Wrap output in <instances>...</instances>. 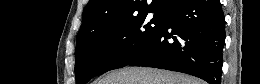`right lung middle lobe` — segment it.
<instances>
[{
	"label": "right lung middle lobe",
	"instance_id": "dd1d6c3e",
	"mask_svg": "<svg viewBox=\"0 0 260 84\" xmlns=\"http://www.w3.org/2000/svg\"><path fill=\"white\" fill-rule=\"evenodd\" d=\"M148 11L119 21L95 25L87 36L76 42V84L107 71L127 66L156 39L165 23L164 12Z\"/></svg>",
	"mask_w": 260,
	"mask_h": 84
}]
</instances>
